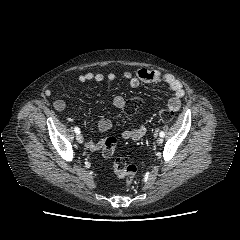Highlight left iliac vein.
Wrapping results in <instances>:
<instances>
[{"label": "left iliac vein", "mask_w": 240, "mask_h": 240, "mask_svg": "<svg viewBox=\"0 0 240 240\" xmlns=\"http://www.w3.org/2000/svg\"><path fill=\"white\" fill-rule=\"evenodd\" d=\"M157 143H158L159 145L162 144V143H163V138L159 137V138L157 139Z\"/></svg>", "instance_id": "obj_1"}]
</instances>
